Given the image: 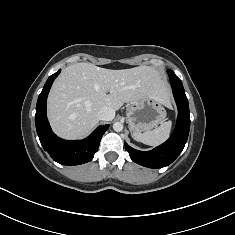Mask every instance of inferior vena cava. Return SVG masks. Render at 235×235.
Wrapping results in <instances>:
<instances>
[{"mask_svg":"<svg viewBox=\"0 0 235 235\" xmlns=\"http://www.w3.org/2000/svg\"><path fill=\"white\" fill-rule=\"evenodd\" d=\"M115 117V111L108 106H103L98 111L99 120L110 121Z\"/></svg>","mask_w":235,"mask_h":235,"instance_id":"1","label":"inferior vena cava"}]
</instances>
